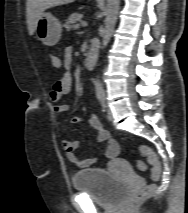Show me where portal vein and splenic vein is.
I'll return each mask as SVG.
<instances>
[{
    "instance_id": "1",
    "label": "portal vein and splenic vein",
    "mask_w": 188,
    "mask_h": 213,
    "mask_svg": "<svg viewBox=\"0 0 188 213\" xmlns=\"http://www.w3.org/2000/svg\"><path fill=\"white\" fill-rule=\"evenodd\" d=\"M81 25H82V27H86V26H87V22H86V21H83V22L81 23Z\"/></svg>"
}]
</instances>
